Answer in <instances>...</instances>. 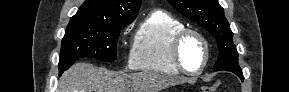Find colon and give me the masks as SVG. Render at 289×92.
<instances>
[{
    "label": "colon",
    "instance_id": "5ec220e1",
    "mask_svg": "<svg viewBox=\"0 0 289 92\" xmlns=\"http://www.w3.org/2000/svg\"><path fill=\"white\" fill-rule=\"evenodd\" d=\"M217 89H218V84H214V85L205 87V88L203 89V91H204V92H213V91H217Z\"/></svg>",
    "mask_w": 289,
    "mask_h": 92
}]
</instances>
